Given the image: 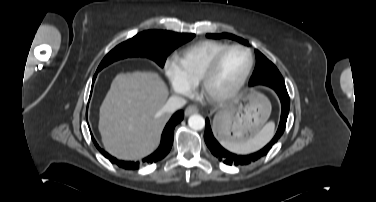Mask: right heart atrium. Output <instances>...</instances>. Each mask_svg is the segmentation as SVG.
<instances>
[{
	"instance_id": "right-heart-atrium-1",
	"label": "right heart atrium",
	"mask_w": 376,
	"mask_h": 202,
	"mask_svg": "<svg viewBox=\"0 0 376 202\" xmlns=\"http://www.w3.org/2000/svg\"><path fill=\"white\" fill-rule=\"evenodd\" d=\"M164 68L171 89L178 95L189 96L192 93V87L183 80L175 61L168 59Z\"/></svg>"
}]
</instances>
